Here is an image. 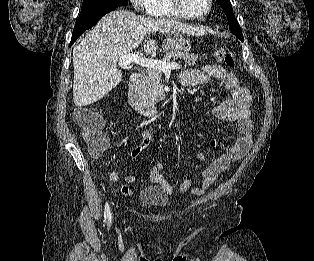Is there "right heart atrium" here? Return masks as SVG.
<instances>
[{"instance_id": "obj_1", "label": "right heart atrium", "mask_w": 314, "mask_h": 261, "mask_svg": "<svg viewBox=\"0 0 314 261\" xmlns=\"http://www.w3.org/2000/svg\"><path fill=\"white\" fill-rule=\"evenodd\" d=\"M133 6L140 11H149L152 0H130Z\"/></svg>"}]
</instances>
